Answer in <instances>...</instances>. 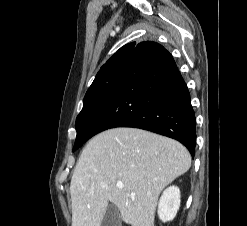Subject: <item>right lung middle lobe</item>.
<instances>
[{"mask_svg": "<svg viewBox=\"0 0 247 226\" xmlns=\"http://www.w3.org/2000/svg\"><path fill=\"white\" fill-rule=\"evenodd\" d=\"M128 58L129 55H125L111 63L88 89L76 119L77 137L73 151L92 137L98 119L117 89Z\"/></svg>", "mask_w": 247, "mask_h": 226, "instance_id": "dd1d6c3e", "label": "right lung middle lobe"}]
</instances>
